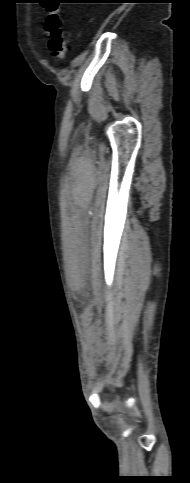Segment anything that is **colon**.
<instances>
[{
    "instance_id": "obj_1",
    "label": "colon",
    "mask_w": 190,
    "mask_h": 483,
    "mask_svg": "<svg viewBox=\"0 0 190 483\" xmlns=\"http://www.w3.org/2000/svg\"><path fill=\"white\" fill-rule=\"evenodd\" d=\"M45 31L48 36V50L56 60H63L68 51V42L65 36L63 19L58 8L50 11Z\"/></svg>"
}]
</instances>
